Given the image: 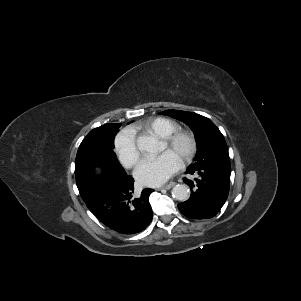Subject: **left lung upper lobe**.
Instances as JSON below:
<instances>
[{
  "instance_id": "5c2ea615",
  "label": "left lung upper lobe",
  "mask_w": 301,
  "mask_h": 301,
  "mask_svg": "<svg viewBox=\"0 0 301 301\" xmlns=\"http://www.w3.org/2000/svg\"><path fill=\"white\" fill-rule=\"evenodd\" d=\"M160 114L178 119L193 130L197 142V153L189 168L210 167L231 170L228 147L225 139L208 118L180 110H166Z\"/></svg>"
}]
</instances>
